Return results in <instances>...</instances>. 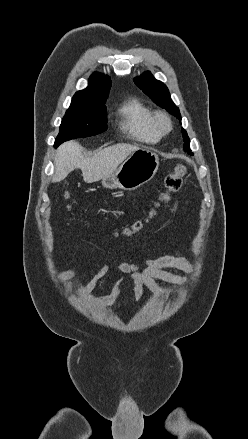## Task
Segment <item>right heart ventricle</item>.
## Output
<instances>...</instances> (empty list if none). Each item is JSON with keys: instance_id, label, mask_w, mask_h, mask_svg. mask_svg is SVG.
Listing matches in <instances>:
<instances>
[{"instance_id": "1", "label": "right heart ventricle", "mask_w": 248, "mask_h": 439, "mask_svg": "<svg viewBox=\"0 0 248 439\" xmlns=\"http://www.w3.org/2000/svg\"><path fill=\"white\" fill-rule=\"evenodd\" d=\"M153 116L152 109L135 97L124 100L115 113L117 125L123 133L147 144L157 143L161 139Z\"/></svg>"}]
</instances>
